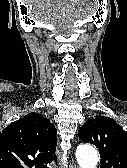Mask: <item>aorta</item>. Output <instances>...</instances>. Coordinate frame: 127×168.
<instances>
[{
  "mask_svg": "<svg viewBox=\"0 0 127 168\" xmlns=\"http://www.w3.org/2000/svg\"><path fill=\"white\" fill-rule=\"evenodd\" d=\"M76 158L81 168H95L98 163V154L96 150L87 144L77 147Z\"/></svg>",
  "mask_w": 127,
  "mask_h": 168,
  "instance_id": "obj_1",
  "label": "aorta"
}]
</instances>
